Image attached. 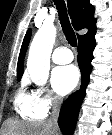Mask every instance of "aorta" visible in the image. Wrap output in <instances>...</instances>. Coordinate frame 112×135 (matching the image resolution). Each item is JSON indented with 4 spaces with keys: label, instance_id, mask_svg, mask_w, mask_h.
<instances>
[{
    "label": "aorta",
    "instance_id": "aorta-1",
    "mask_svg": "<svg viewBox=\"0 0 112 135\" xmlns=\"http://www.w3.org/2000/svg\"><path fill=\"white\" fill-rule=\"evenodd\" d=\"M56 38L54 26H44L35 34L29 49L27 70L31 80L44 86L49 77L50 55Z\"/></svg>",
    "mask_w": 112,
    "mask_h": 135
}]
</instances>
